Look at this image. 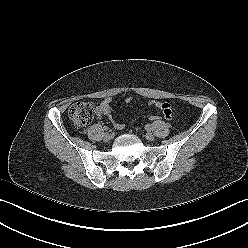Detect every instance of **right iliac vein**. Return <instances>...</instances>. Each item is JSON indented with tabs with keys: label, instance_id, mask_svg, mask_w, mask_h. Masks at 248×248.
I'll use <instances>...</instances> for the list:
<instances>
[{
	"label": "right iliac vein",
	"instance_id": "1",
	"mask_svg": "<svg viewBox=\"0 0 248 248\" xmlns=\"http://www.w3.org/2000/svg\"><path fill=\"white\" fill-rule=\"evenodd\" d=\"M112 138H113V136H112L111 133L106 132V133L104 134V141L109 142V141L112 140Z\"/></svg>",
	"mask_w": 248,
	"mask_h": 248
}]
</instances>
